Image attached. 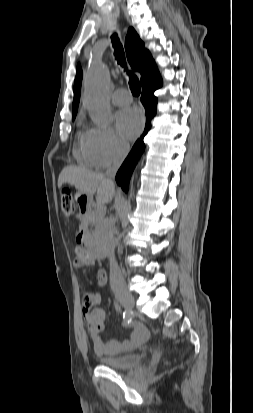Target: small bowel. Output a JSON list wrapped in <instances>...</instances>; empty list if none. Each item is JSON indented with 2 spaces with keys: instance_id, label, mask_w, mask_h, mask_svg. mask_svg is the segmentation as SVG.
Here are the masks:
<instances>
[{
  "instance_id": "obj_1",
  "label": "small bowel",
  "mask_w": 253,
  "mask_h": 413,
  "mask_svg": "<svg viewBox=\"0 0 253 413\" xmlns=\"http://www.w3.org/2000/svg\"><path fill=\"white\" fill-rule=\"evenodd\" d=\"M76 268H83L92 265V259L85 255L82 248H76V256L73 260ZM107 281V273L104 269L96 271V284L98 287L103 286ZM100 301L99 294L91 287L85 292L83 297L84 322L88 330L90 341L94 351L99 356H113L119 353L130 351L141 346L148 340L150 333L141 323L133 324V332L129 338L123 342L111 340L103 342L100 333L105 326V312L98 307Z\"/></svg>"
}]
</instances>
